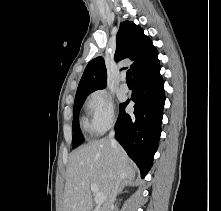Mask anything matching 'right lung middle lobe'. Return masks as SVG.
Here are the masks:
<instances>
[{"instance_id": "right-lung-middle-lobe-1", "label": "right lung middle lobe", "mask_w": 221, "mask_h": 211, "mask_svg": "<svg viewBox=\"0 0 221 211\" xmlns=\"http://www.w3.org/2000/svg\"><path fill=\"white\" fill-rule=\"evenodd\" d=\"M88 95L75 98L74 102V109H73V139H72V148H76L79 146L81 143L84 142V138L82 136L80 127H79V121H78V116H79V111L80 108L85 100V98Z\"/></svg>"}]
</instances>
